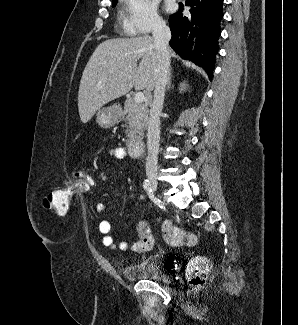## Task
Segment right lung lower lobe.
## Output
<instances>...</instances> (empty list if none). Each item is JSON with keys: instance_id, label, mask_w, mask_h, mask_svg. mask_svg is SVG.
Masks as SVG:
<instances>
[{"instance_id": "obj_1", "label": "right lung lower lobe", "mask_w": 298, "mask_h": 325, "mask_svg": "<svg viewBox=\"0 0 298 325\" xmlns=\"http://www.w3.org/2000/svg\"><path fill=\"white\" fill-rule=\"evenodd\" d=\"M190 15L179 13L169 18L172 33L170 45L184 59L202 67L213 76L215 55L218 52L220 22L223 17V0H186Z\"/></svg>"}]
</instances>
